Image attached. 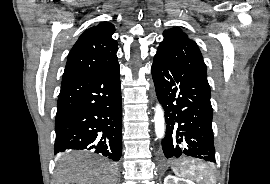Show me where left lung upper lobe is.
Segmentation results:
<instances>
[{
    "label": "left lung upper lobe",
    "mask_w": 270,
    "mask_h": 184,
    "mask_svg": "<svg viewBox=\"0 0 270 184\" xmlns=\"http://www.w3.org/2000/svg\"><path fill=\"white\" fill-rule=\"evenodd\" d=\"M163 35L156 55L181 64L208 84L207 68L197 44L178 27L165 30Z\"/></svg>",
    "instance_id": "1"
}]
</instances>
